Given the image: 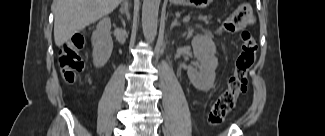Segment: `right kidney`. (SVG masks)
<instances>
[{
    "instance_id": "ca27d5eb",
    "label": "right kidney",
    "mask_w": 325,
    "mask_h": 136,
    "mask_svg": "<svg viewBox=\"0 0 325 136\" xmlns=\"http://www.w3.org/2000/svg\"><path fill=\"white\" fill-rule=\"evenodd\" d=\"M111 20L105 17L99 21L96 30L92 33V46H93V64L96 68L103 67L109 60L112 49L113 41L110 34Z\"/></svg>"
}]
</instances>
